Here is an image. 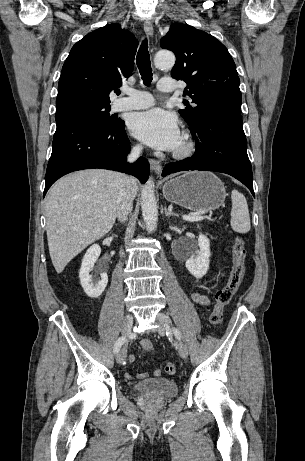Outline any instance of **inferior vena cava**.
Listing matches in <instances>:
<instances>
[{"instance_id": "inferior-vena-cava-1", "label": "inferior vena cava", "mask_w": 305, "mask_h": 461, "mask_svg": "<svg viewBox=\"0 0 305 461\" xmlns=\"http://www.w3.org/2000/svg\"><path fill=\"white\" fill-rule=\"evenodd\" d=\"M142 146L137 145L132 148L128 155V161L134 162L142 152ZM130 177L123 175L120 181V190L117 199V217L121 222L126 221L128 214L133 209L134 196L130 189Z\"/></svg>"}]
</instances>
